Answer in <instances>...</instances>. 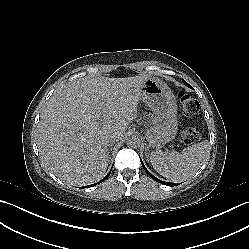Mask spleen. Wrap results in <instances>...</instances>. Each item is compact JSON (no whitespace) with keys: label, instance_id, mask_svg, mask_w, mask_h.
I'll return each instance as SVG.
<instances>
[{"label":"spleen","instance_id":"obj_1","mask_svg":"<svg viewBox=\"0 0 249 249\" xmlns=\"http://www.w3.org/2000/svg\"><path fill=\"white\" fill-rule=\"evenodd\" d=\"M209 158V142L204 140L183 149L181 153L155 151L150 159L153 168L170 181H180L196 171Z\"/></svg>","mask_w":249,"mask_h":249}]
</instances>
